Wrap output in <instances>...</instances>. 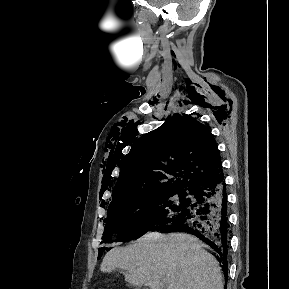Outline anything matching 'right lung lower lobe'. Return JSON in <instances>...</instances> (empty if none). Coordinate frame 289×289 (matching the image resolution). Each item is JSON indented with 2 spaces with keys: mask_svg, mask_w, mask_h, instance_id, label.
I'll use <instances>...</instances> for the list:
<instances>
[{
  "mask_svg": "<svg viewBox=\"0 0 289 289\" xmlns=\"http://www.w3.org/2000/svg\"><path fill=\"white\" fill-rule=\"evenodd\" d=\"M190 194L194 198L189 200L187 206L154 230L163 233L182 231L195 235L215 252L227 278V255L231 231L222 171L194 185Z\"/></svg>",
  "mask_w": 289,
  "mask_h": 289,
  "instance_id": "98d812e1",
  "label": "right lung lower lobe"
}]
</instances>
